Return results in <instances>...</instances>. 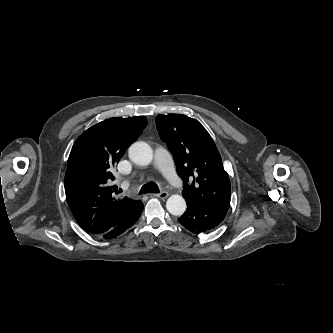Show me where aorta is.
<instances>
[{
    "instance_id": "aorta-1",
    "label": "aorta",
    "mask_w": 333,
    "mask_h": 333,
    "mask_svg": "<svg viewBox=\"0 0 333 333\" xmlns=\"http://www.w3.org/2000/svg\"><path fill=\"white\" fill-rule=\"evenodd\" d=\"M128 153L131 161L137 165L146 166L153 160L152 148L145 142L133 143ZM166 208L172 215L181 216L186 210V202L182 196L174 194L168 198Z\"/></svg>"
}]
</instances>
